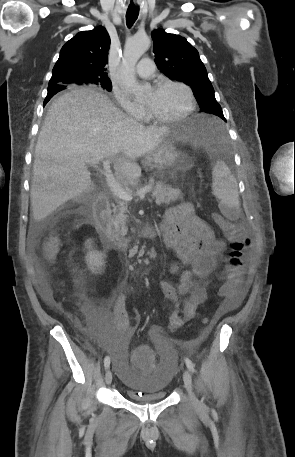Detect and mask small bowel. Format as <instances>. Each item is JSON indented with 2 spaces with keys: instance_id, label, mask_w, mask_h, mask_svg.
<instances>
[{
  "instance_id": "small-bowel-1",
  "label": "small bowel",
  "mask_w": 295,
  "mask_h": 457,
  "mask_svg": "<svg viewBox=\"0 0 295 457\" xmlns=\"http://www.w3.org/2000/svg\"><path fill=\"white\" fill-rule=\"evenodd\" d=\"M163 242L174 251L188 269L181 273L178 286L162 281L160 288L164 296L173 303V311L169 318L171 330H177L192 321L196 309L206 302L208 293L204 280L217 268L225 243L218 239L212 228L195 215L190 203H182L168 209L162 219ZM172 271L175 267L171 268ZM44 291V299L55 307L53 299ZM245 289L242 285L234 298L228 299L229 307H235L242 299ZM190 293L185 301L180 295ZM126 294L122 293L109 310L106 305L88 303L84 306L91 325L98 333H112L115 338H130L135 326L129 323L126 314ZM150 336L155 342H163L162 328L153 325Z\"/></svg>"
}]
</instances>
